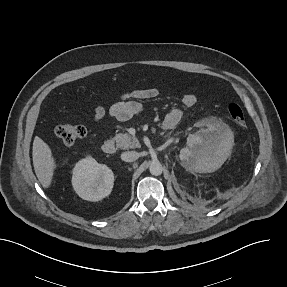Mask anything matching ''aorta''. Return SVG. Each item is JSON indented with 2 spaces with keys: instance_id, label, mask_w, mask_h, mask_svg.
Masks as SVG:
<instances>
[{
  "instance_id": "aorta-1",
  "label": "aorta",
  "mask_w": 287,
  "mask_h": 287,
  "mask_svg": "<svg viewBox=\"0 0 287 287\" xmlns=\"http://www.w3.org/2000/svg\"><path fill=\"white\" fill-rule=\"evenodd\" d=\"M149 171L153 176H159L162 174L163 167L159 161H153L150 164Z\"/></svg>"
}]
</instances>
